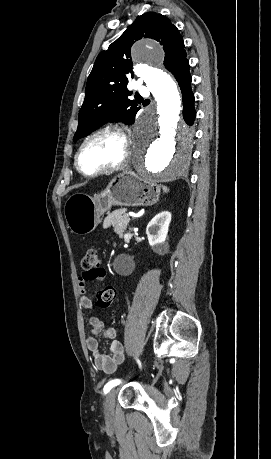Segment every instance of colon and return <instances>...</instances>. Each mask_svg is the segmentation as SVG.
Segmentation results:
<instances>
[{"instance_id":"1","label":"colon","mask_w":271,"mask_h":459,"mask_svg":"<svg viewBox=\"0 0 271 459\" xmlns=\"http://www.w3.org/2000/svg\"><path fill=\"white\" fill-rule=\"evenodd\" d=\"M81 267L85 272L94 271L101 267V258L94 248L86 250L82 260ZM115 297L114 290L112 288H105L99 290L96 294V305L100 309H107L111 306Z\"/></svg>"}]
</instances>
